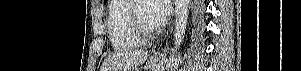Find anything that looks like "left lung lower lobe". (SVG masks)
Masks as SVG:
<instances>
[{"instance_id": "1", "label": "left lung lower lobe", "mask_w": 301, "mask_h": 71, "mask_svg": "<svg viewBox=\"0 0 301 71\" xmlns=\"http://www.w3.org/2000/svg\"><path fill=\"white\" fill-rule=\"evenodd\" d=\"M193 9V19L195 28H197V34H201L204 29V11H205V2L203 0H195L192 4Z\"/></svg>"}]
</instances>
